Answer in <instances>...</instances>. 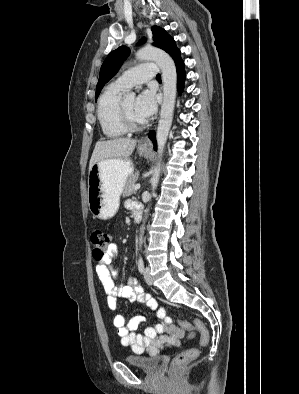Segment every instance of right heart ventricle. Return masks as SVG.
Returning a JSON list of instances; mask_svg holds the SVG:
<instances>
[{
    "instance_id": "obj_1",
    "label": "right heart ventricle",
    "mask_w": 299,
    "mask_h": 394,
    "mask_svg": "<svg viewBox=\"0 0 299 394\" xmlns=\"http://www.w3.org/2000/svg\"><path fill=\"white\" fill-rule=\"evenodd\" d=\"M124 91L123 87L113 82L105 88L99 98L97 117L103 134L108 138H118L127 132L118 114L119 102Z\"/></svg>"
}]
</instances>
